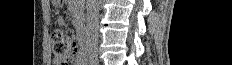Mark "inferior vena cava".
<instances>
[{
  "instance_id": "obj_1",
  "label": "inferior vena cava",
  "mask_w": 232,
  "mask_h": 65,
  "mask_svg": "<svg viewBox=\"0 0 232 65\" xmlns=\"http://www.w3.org/2000/svg\"><path fill=\"white\" fill-rule=\"evenodd\" d=\"M99 7V0H86V46L90 60H97L98 56Z\"/></svg>"
}]
</instances>
